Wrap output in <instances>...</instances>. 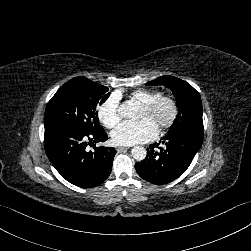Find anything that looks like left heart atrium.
Masks as SVG:
<instances>
[{
  "instance_id": "39dd6f15",
  "label": "left heart atrium",
  "mask_w": 251,
  "mask_h": 251,
  "mask_svg": "<svg viewBox=\"0 0 251 251\" xmlns=\"http://www.w3.org/2000/svg\"><path fill=\"white\" fill-rule=\"evenodd\" d=\"M158 125L150 118L138 122L124 121L112 133L115 145L130 146L154 140L158 135Z\"/></svg>"
}]
</instances>
